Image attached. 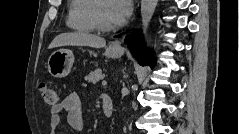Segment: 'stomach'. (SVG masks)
Returning <instances> with one entry per match:
<instances>
[{
	"instance_id": "1",
	"label": "stomach",
	"mask_w": 239,
	"mask_h": 134,
	"mask_svg": "<svg viewBox=\"0 0 239 134\" xmlns=\"http://www.w3.org/2000/svg\"><path fill=\"white\" fill-rule=\"evenodd\" d=\"M122 54V49L108 47L104 53L109 58H119ZM74 62L73 52L69 49H59L54 51L48 59V71L56 78H62L70 73Z\"/></svg>"
}]
</instances>
